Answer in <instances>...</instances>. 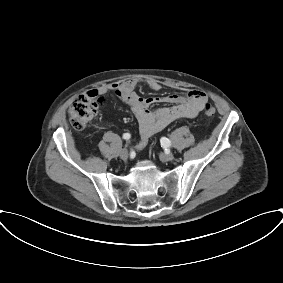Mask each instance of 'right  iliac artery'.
I'll list each match as a JSON object with an SVG mask.
<instances>
[{
    "mask_svg": "<svg viewBox=\"0 0 283 283\" xmlns=\"http://www.w3.org/2000/svg\"><path fill=\"white\" fill-rule=\"evenodd\" d=\"M123 138H124V139H129V138H130V134H129V133H125V134L123 135Z\"/></svg>",
    "mask_w": 283,
    "mask_h": 283,
    "instance_id": "82829eb1",
    "label": "right iliac artery"
}]
</instances>
